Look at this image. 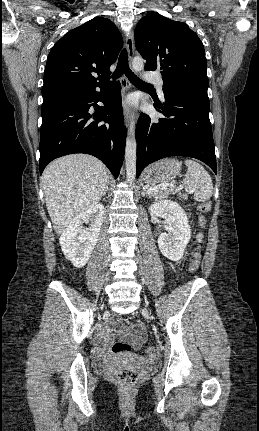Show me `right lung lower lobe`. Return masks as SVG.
<instances>
[{"label": "right lung lower lobe", "instance_id": "98d812e1", "mask_svg": "<svg viewBox=\"0 0 259 431\" xmlns=\"http://www.w3.org/2000/svg\"><path fill=\"white\" fill-rule=\"evenodd\" d=\"M99 100L104 106L96 104ZM41 116L40 174L58 157L87 153L102 160L117 178L127 134L119 82L63 89L43 96Z\"/></svg>", "mask_w": 259, "mask_h": 431}]
</instances>
